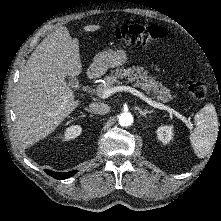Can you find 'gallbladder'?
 <instances>
[{"mask_svg": "<svg viewBox=\"0 0 221 221\" xmlns=\"http://www.w3.org/2000/svg\"><path fill=\"white\" fill-rule=\"evenodd\" d=\"M69 80V84L72 86V87H77L79 85V82L76 78L74 77H70L68 78Z\"/></svg>", "mask_w": 221, "mask_h": 221, "instance_id": "gallbladder-1", "label": "gallbladder"}]
</instances>
